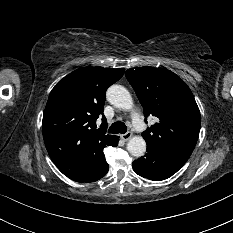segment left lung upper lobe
<instances>
[{
	"label": "left lung upper lobe",
	"instance_id": "5c2ea615",
	"mask_svg": "<svg viewBox=\"0 0 233 233\" xmlns=\"http://www.w3.org/2000/svg\"><path fill=\"white\" fill-rule=\"evenodd\" d=\"M125 75L143 107L145 121L149 115L158 118L142 133L147 145L191 155L201 117L190 88L165 68H132Z\"/></svg>",
	"mask_w": 233,
	"mask_h": 233
}]
</instances>
